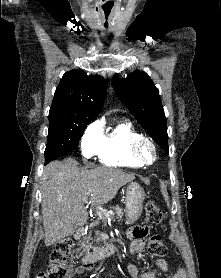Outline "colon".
<instances>
[{"label":"colon","mask_w":221,"mask_h":278,"mask_svg":"<svg viewBox=\"0 0 221 278\" xmlns=\"http://www.w3.org/2000/svg\"><path fill=\"white\" fill-rule=\"evenodd\" d=\"M145 209L147 223L150 226H160L164 219L162 210L153 201H148ZM72 245L70 239L61 240L50 254L47 271L38 273L35 278H67L69 273L67 259ZM147 250L154 256L164 255L166 247L161 236L152 235L149 238Z\"/></svg>","instance_id":"colon-1"}]
</instances>
